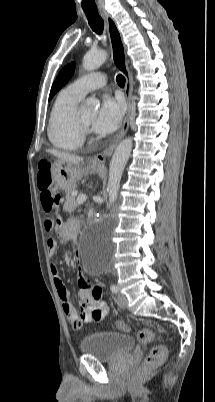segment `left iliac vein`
Returning <instances> with one entry per match:
<instances>
[{"label": "left iliac vein", "mask_w": 215, "mask_h": 402, "mask_svg": "<svg viewBox=\"0 0 215 402\" xmlns=\"http://www.w3.org/2000/svg\"><path fill=\"white\" fill-rule=\"evenodd\" d=\"M118 301H119V304L122 307H124V308L128 307V300H127V297L124 294H122V293L118 294Z\"/></svg>", "instance_id": "obj_1"}]
</instances>
